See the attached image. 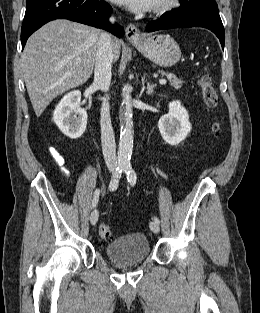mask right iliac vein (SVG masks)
Masks as SVG:
<instances>
[{
	"label": "right iliac vein",
	"instance_id": "63e3f726",
	"mask_svg": "<svg viewBox=\"0 0 260 313\" xmlns=\"http://www.w3.org/2000/svg\"><path fill=\"white\" fill-rule=\"evenodd\" d=\"M113 169H110V172H112ZM98 217H99V213H98V210L94 209L92 212H91V215H90V221H91V224L92 225H95L98 221Z\"/></svg>",
	"mask_w": 260,
	"mask_h": 313
}]
</instances>
